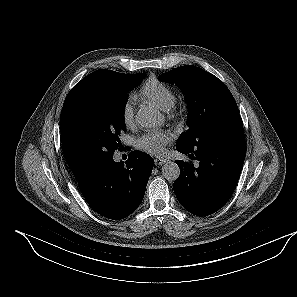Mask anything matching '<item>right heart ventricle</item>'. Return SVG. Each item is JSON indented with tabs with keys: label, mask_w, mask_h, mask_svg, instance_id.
Wrapping results in <instances>:
<instances>
[{
	"label": "right heart ventricle",
	"mask_w": 297,
	"mask_h": 297,
	"mask_svg": "<svg viewBox=\"0 0 297 297\" xmlns=\"http://www.w3.org/2000/svg\"><path fill=\"white\" fill-rule=\"evenodd\" d=\"M140 95L163 110H169L176 99L172 88L156 78H150L142 85Z\"/></svg>",
	"instance_id": "obj_1"
}]
</instances>
